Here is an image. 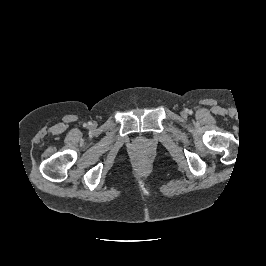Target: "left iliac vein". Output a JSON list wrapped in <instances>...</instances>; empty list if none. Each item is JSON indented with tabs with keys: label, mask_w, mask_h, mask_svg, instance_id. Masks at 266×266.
I'll use <instances>...</instances> for the list:
<instances>
[{
	"label": "left iliac vein",
	"mask_w": 266,
	"mask_h": 266,
	"mask_svg": "<svg viewBox=\"0 0 266 266\" xmlns=\"http://www.w3.org/2000/svg\"><path fill=\"white\" fill-rule=\"evenodd\" d=\"M181 115L183 116V117H186V112L185 111H183L182 113H181Z\"/></svg>",
	"instance_id": "left-iliac-vein-1"
}]
</instances>
